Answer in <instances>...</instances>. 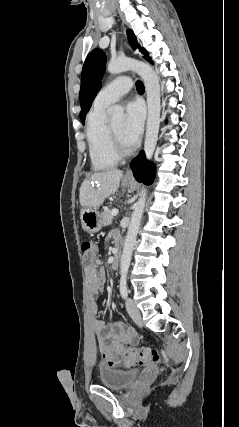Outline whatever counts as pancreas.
I'll return each instance as SVG.
<instances>
[{
    "label": "pancreas",
    "mask_w": 239,
    "mask_h": 427,
    "mask_svg": "<svg viewBox=\"0 0 239 427\" xmlns=\"http://www.w3.org/2000/svg\"><path fill=\"white\" fill-rule=\"evenodd\" d=\"M103 225L107 226L112 223L113 216L111 215V210L105 209L102 214Z\"/></svg>",
    "instance_id": "obj_1"
}]
</instances>
